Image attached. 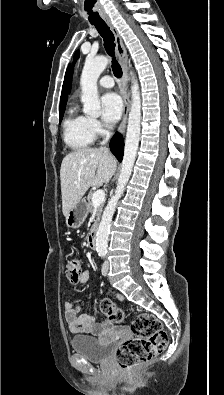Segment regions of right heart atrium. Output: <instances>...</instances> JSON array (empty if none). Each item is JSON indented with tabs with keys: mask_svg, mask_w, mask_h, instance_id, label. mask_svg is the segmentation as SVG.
<instances>
[{
	"mask_svg": "<svg viewBox=\"0 0 224 395\" xmlns=\"http://www.w3.org/2000/svg\"><path fill=\"white\" fill-rule=\"evenodd\" d=\"M90 126L95 135L103 133V127L97 119L90 118Z\"/></svg>",
	"mask_w": 224,
	"mask_h": 395,
	"instance_id": "d8ad5b80",
	"label": "right heart atrium"
}]
</instances>
